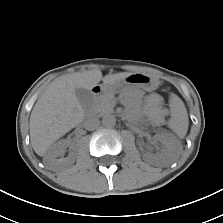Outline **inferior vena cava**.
<instances>
[{"label":"inferior vena cava","mask_w":223,"mask_h":223,"mask_svg":"<svg viewBox=\"0 0 223 223\" xmlns=\"http://www.w3.org/2000/svg\"><path fill=\"white\" fill-rule=\"evenodd\" d=\"M100 124V120L96 117H90L85 121V128L88 130H93L97 128Z\"/></svg>","instance_id":"obj_1"}]
</instances>
